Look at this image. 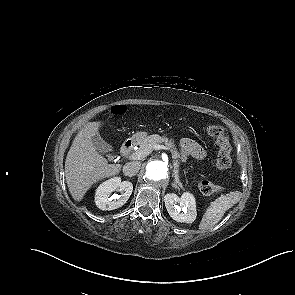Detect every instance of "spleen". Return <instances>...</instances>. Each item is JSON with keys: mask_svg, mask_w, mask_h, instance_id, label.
Wrapping results in <instances>:
<instances>
[{"mask_svg": "<svg viewBox=\"0 0 295 295\" xmlns=\"http://www.w3.org/2000/svg\"><path fill=\"white\" fill-rule=\"evenodd\" d=\"M240 198L241 192L239 191L230 192L218 197L203 214L199 229L208 230L216 225L222 219L225 212L239 202Z\"/></svg>", "mask_w": 295, "mask_h": 295, "instance_id": "obj_1", "label": "spleen"}]
</instances>
